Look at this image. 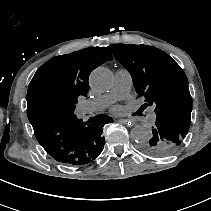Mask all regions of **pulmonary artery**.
<instances>
[{
  "label": "pulmonary artery",
  "mask_w": 211,
  "mask_h": 211,
  "mask_svg": "<svg viewBox=\"0 0 211 211\" xmlns=\"http://www.w3.org/2000/svg\"><path fill=\"white\" fill-rule=\"evenodd\" d=\"M133 84L131 73L127 69H118L115 72V81L111 91L94 100L85 101L78 105V110L82 114H91L107 108L114 100L125 97ZM146 117L150 121H155L159 117V112L155 108H150L146 112Z\"/></svg>",
  "instance_id": "e3ab8cb5"
}]
</instances>
